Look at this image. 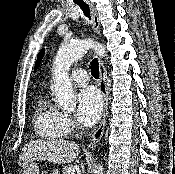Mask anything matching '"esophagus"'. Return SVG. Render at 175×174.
<instances>
[{
  "label": "esophagus",
  "instance_id": "obj_1",
  "mask_svg": "<svg viewBox=\"0 0 175 174\" xmlns=\"http://www.w3.org/2000/svg\"><path fill=\"white\" fill-rule=\"evenodd\" d=\"M88 4L90 6V11L92 16L93 30L96 34H99L100 22H99L96 8L90 1H88ZM98 66H99V73H100L99 88L103 96V114H102V119L100 121L98 128L94 131L90 142L87 144V148H92V149L97 146L98 142L101 140V137L104 134L107 116H108L107 72H106L104 63L100 58H98Z\"/></svg>",
  "mask_w": 175,
  "mask_h": 174
}]
</instances>
